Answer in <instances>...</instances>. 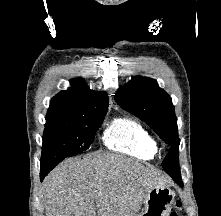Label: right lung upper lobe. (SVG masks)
Returning a JSON list of instances; mask_svg holds the SVG:
<instances>
[{"label": "right lung upper lobe", "instance_id": "cb5924a9", "mask_svg": "<svg viewBox=\"0 0 221 216\" xmlns=\"http://www.w3.org/2000/svg\"><path fill=\"white\" fill-rule=\"evenodd\" d=\"M71 84L73 87L52 98L46 125L67 123L81 116L107 112L109 99L106 92L90 90L82 78L71 80Z\"/></svg>", "mask_w": 221, "mask_h": 216}]
</instances>
